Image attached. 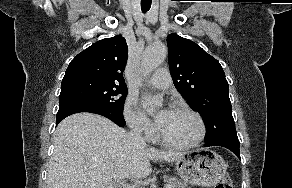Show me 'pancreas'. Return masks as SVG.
I'll use <instances>...</instances> for the list:
<instances>
[{
    "label": "pancreas",
    "instance_id": "obj_1",
    "mask_svg": "<svg viewBox=\"0 0 292 188\" xmlns=\"http://www.w3.org/2000/svg\"><path fill=\"white\" fill-rule=\"evenodd\" d=\"M169 188H187V184L172 176L166 177Z\"/></svg>",
    "mask_w": 292,
    "mask_h": 188
}]
</instances>
